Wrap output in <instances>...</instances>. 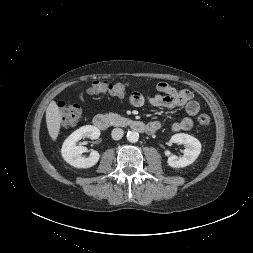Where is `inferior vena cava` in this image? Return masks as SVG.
Masks as SVG:
<instances>
[{
	"label": "inferior vena cava",
	"mask_w": 253,
	"mask_h": 253,
	"mask_svg": "<svg viewBox=\"0 0 253 253\" xmlns=\"http://www.w3.org/2000/svg\"><path fill=\"white\" fill-rule=\"evenodd\" d=\"M124 131L121 128H114L111 136L114 140H120L123 137Z\"/></svg>",
	"instance_id": "602c4592"
}]
</instances>
